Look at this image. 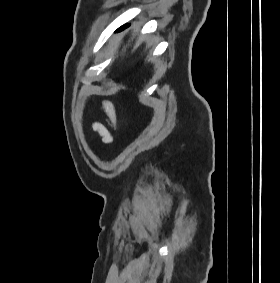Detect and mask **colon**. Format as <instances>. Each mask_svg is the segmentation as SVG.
Masks as SVG:
<instances>
[{
    "mask_svg": "<svg viewBox=\"0 0 280 283\" xmlns=\"http://www.w3.org/2000/svg\"><path fill=\"white\" fill-rule=\"evenodd\" d=\"M127 36L128 37H131L132 36V33L131 32H128L127 33ZM104 109H105V112L109 118V120L111 121V123L114 125L115 124V121H116V115H115V110H114V106L113 104L109 101V100H105L104 103Z\"/></svg>",
    "mask_w": 280,
    "mask_h": 283,
    "instance_id": "1",
    "label": "colon"
}]
</instances>
